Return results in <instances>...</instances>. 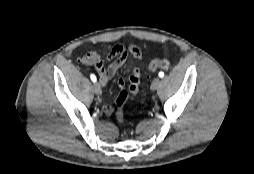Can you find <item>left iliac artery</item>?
Segmentation results:
<instances>
[{"instance_id":"left-iliac-artery-1","label":"left iliac artery","mask_w":254,"mask_h":174,"mask_svg":"<svg viewBox=\"0 0 254 174\" xmlns=\"http://www.w3.org/2000/svg\"><path fill=\"white\" fill-rule=\"evenodd\" d=\"M158 75H159L160 78H163L164 77V72H159Z\"/></svg>"}]
</instances>
